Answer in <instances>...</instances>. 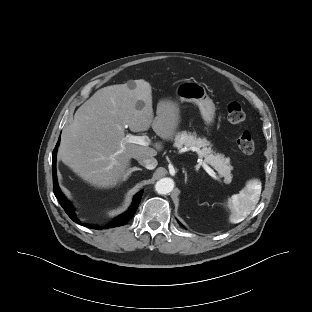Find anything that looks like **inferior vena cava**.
Instances as JSON below:
<instances>
[{"label": "inferior vena cava", "instance_id": "1", "mask_svg": "<svg viewBox=\"0 0 312 312\" xmlns=\"http://www.w3.org/2000/svg\"><path fill=\"white\" fill-rule=\"evenodd\" d=\"M136 159L139 162V164H141L142 166H144L145 168L149 170L156 168L158 164L157 160L154 157H151V158L137 157Z\"/></svg>", "mask_w": 312, "mask_h": 312}]
</instances>
